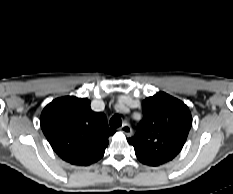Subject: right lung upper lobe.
<instances>
[{"mask_svg": "<svg viewBox=\"0 0 233 194\" xmlns=\"http://www.w3.org/2000/svg\"><path fill=\"white\" fill-rule=\"evenodd\" d=\"M40 124L53 150L72 165L97 162L108 146L110 129L103 113L91 110L86 98L66 96L53 100L43 110Z\"/></svg>", "mask_w": 233, "mask_h": 194, "instance_id": "1", "label": "right lung upper lobe"}]
</instances>
